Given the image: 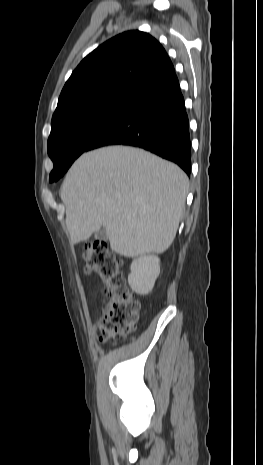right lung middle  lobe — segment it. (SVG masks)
Masks as SVG:
<instances>
[{
	"label": "right lung middle lobe",
	"instance_id": "dd1d6c3e",
	"mask_svg": "<svg viewBox=\"0 0 263 465\" xmlns=\"http://www.w3.org/2000/svg\"><path fill=\"white\" fill-rule=\"evenodd\" d=\"M135 97L108 96L74 106L52 118L48 154L54 163L49 181H57L74 160L106 132Z\"/></svg>",
	"mask_w": 263,
	"mask_h": 465
}]
</instances>
